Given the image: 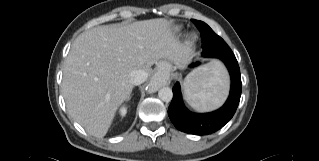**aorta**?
Here are the masks:
<instances>
[{
    "mask_svg": "<svg viewBox=\"0 0 319 161\" xmlns=\"http://www.w3.org/2000/svg\"><path fill=\"white\" fill-rule=\"evenodd\" d=\"M159 98L164 102H169L172 100L173 93L169 87H163L158 92Z\"/></svg>",
    "mask_w": 319,
    "mask_h": 161,
    "instance_id": "obj_1",
    "label": "aorta"
}]
</instances>
